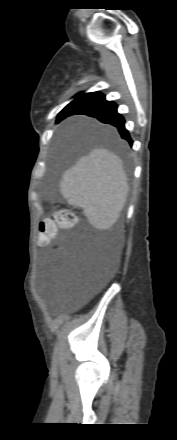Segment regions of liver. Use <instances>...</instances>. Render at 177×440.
Listing matches in <instances>:
<instances>
[{
    "label": "liver",
    "instance_id": "obj_1",
    "mask_svg": "<svg viewBox=\"0 0 177 440\" xmlns=\"http://www.w3.org/2000/svg\"><path fill=\"white\" fill-rule=\"evenodd\" d=\"M59 187L64 198L82 208L89 222L100 230L117 222L129 192L122 160L98 146L64 172Z\"/></svg>",
    "mask_w": 177,
    "mask_h": 440
}]
</instances>
